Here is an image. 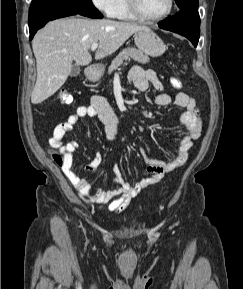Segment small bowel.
<instances>
[{"instance_id":"c3829d8e","label":"small bowel","mask_w":243,"mask_h":289,"mask_svg":"<svg viewBox=\"0 0 243 289\" xmlns=\"http://www.w3.org/2000/svg\"><path fill=\"white\" fill-rule=\"evenodd\" d=\"M130 81L140 91H146L152 85L159 94L155 97V104L159 107L168 106L172 99L164 92V88L156 73L153 70H145L140 66L133 67L128 74ZM175 104L184 109L180 116V121L185 127V134L179 141V146L175 154L168 161H161L148 158L144 151L149 176L141 179L135 184L127 182L122 174L120 167L113 166L114 178L111 187L105 189L102 186L93 188L86 178L80 177L72 168L73 153L78 148L75 140H69L63 143V139L68 136L75 125L84 118H98L103 125L105 135L108 140L114 142L118 139V128L120 120L110 109L105 97L95 95L91 98L88 106H79L75 113L71 114L65 122L59 123L52 130L49 138L50 145L58 150L62 157V163L59 165L62 172L77 191L78 197L86 204L108 203V210L115 213L124 211L130 201L145 188L160 182L166 173L182 166L187 160L190 149L201 134L202 121L198 113L195 100L186 93H177L174 97ZM102 162L100 153L85 166L86 171L97 172ZM103 183L104 180L101 179Z\"/></svg>"}]
</instances>
